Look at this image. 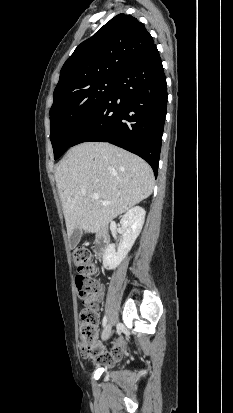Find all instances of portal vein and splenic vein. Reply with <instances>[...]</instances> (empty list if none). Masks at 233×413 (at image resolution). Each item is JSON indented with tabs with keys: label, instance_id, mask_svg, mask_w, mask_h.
<instances>
[{
	"label": "portal vein and splenic vein",
	"instance_id": "1",
	"mask_svg": "<svg viewBox=\"0 0 233 413\" xmlns=\"http://www.w3.org/2000/svg\"><path fill=\"white\" fill-rule=\"evenodd\" d=\"M93 198L98 200L100 198L99 194H93ZM105 204H109V202L103 201Z\"/></svg>",
	"mask_w": 233,
	"mask_h": 413
}]
</instances>
